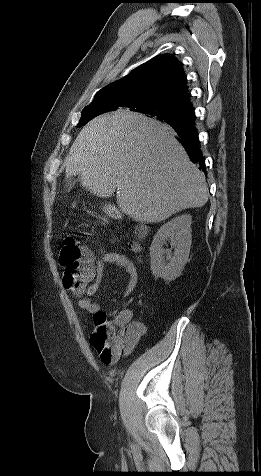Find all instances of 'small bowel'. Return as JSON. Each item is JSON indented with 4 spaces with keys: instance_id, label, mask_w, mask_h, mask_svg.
<instances>
[{
    "instance_id": "obj_1",
    "label": "small bowel",
    "mask_w": 261,
    "mask_h": 476,
    "mask_svg": "<svg viewBox=\"0 0 261 476\" xmlns=\"http://www.w3.org/2000/svg\"><path fill=\"white\" fill-rule=\"evenodd\" d=\"M108 265H116L127 274V284L124 291L125 297L129 296L138 284L137 269L131 259L122 253L102 251L101 258L92 264V278L90 282L84 288L75 292L80 299V308L93 314L94 317L101 313V307L92 298L101 285L105 267ZM110 326L121 330L123 339L110 355L104 356L100 354L102 361L106 364L114 363L121 356L129 354L145 330L144 324L134 320L132 312L128 309L118 312L111 321Z\"/></svg>"
}]
</instances>
